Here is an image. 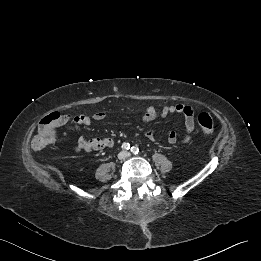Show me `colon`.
<instances>
[{"mask_svg": "<svg viewBox=\"0 0 261 261\" xmlns=\"http://www.w3.org/2000/svg\"><path fill=\"white\" fill-rule=\"evenodd\" d=\"M66 121V116L53 112L41 119L38 124L36 134L32 140V146L35 150H41L56 138L55 128ZM198 126L202 133L212 134L216 129V121L208 113H201L198 116Z\"/></svg>", "mask_w": 261, "mask_h": 261, "instance_id": "obj_1", "label": "colon"}]
</instances>
